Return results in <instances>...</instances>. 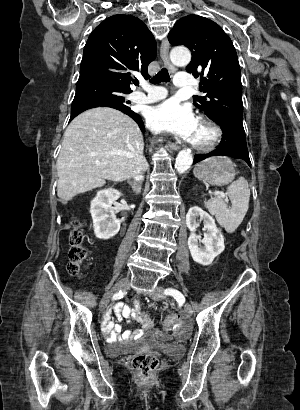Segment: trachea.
I'll return each mask as SVG.
<instances>
[{
    "mask_svg": "<svg viewBox=\"0 0 300 410\" xmlns=\"http://www.w3.org/2000/svg\"><path fill=\"white\" fill-rule=\"evenodd\" d=\"M170 81V76L168 73V70L166 68H162L151 80L150 83L152 84H158L161 82H169ZM139 82H135V85H138Z\"/></svg>",
    "mask_w": 300,
    "mask_h": 410,
    "instance_id": "trachea-1",
    "label": "trachea"
}]
</instances>
